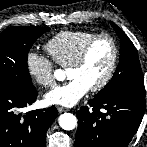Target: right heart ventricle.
Instances as JSON below:
<instances>
[{"instance_id":"right-heart-ventricle-1","label":"right heart ventricle","mask_w":147,"mask_h":147,"mask_svg":"<svg viewBox=\"0 0 147 147\" xmlns=\"http://www.w3.org/2000/svg\"><path fill=\"white\" fill-rule=\"evenodd\" d=\"M94 35L91 31L83 30L61 31L46 42L45 49L55 63L61 67H68Z\"/></svg>"}]
</instances>
